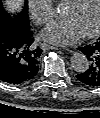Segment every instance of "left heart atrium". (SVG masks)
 Masks as SVG:
<instances>
[{"label": "left heart atrium", "mask_w": 100, "mask_h": 118, "mask_svg": "<svg viewBox=\"0 0 100 118\" xmlns=\"http://www.w3.org/2000/svg\"><path fill=\"white\" fill-rule=\"evenodd\" d=\"M83 33L77 23L72 19L55 20L42 32L46 41L57 45H69L82 37Z\"/></svg>", "instance_id": "39dd6f15"}]
</instances>
